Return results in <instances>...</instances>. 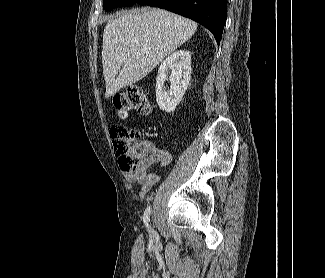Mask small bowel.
I'll use <instances>...</instances> for the list:
<instances>
[{
	"mask_svg": "<svg viewBox=\"0 0 325 278\" xmlns=\"http://www.w3.org/2000/svg\"><path fill=\"white\" fill-rule=\"evenodd\" d=\"M149 155L144 158L140 166L134 171H123L124 178L130 183L140 186L139 196L144 198L153 185L159 181V175L153 171L154 166H167L171 162V154L163 149H158L151 143H146Z\"/></svg>",
	"mask_w": 325,
	"mask_h": 278,
	"instance_id": "small-bowel-1",
	"label": "small bowel"
}]
</instances>
